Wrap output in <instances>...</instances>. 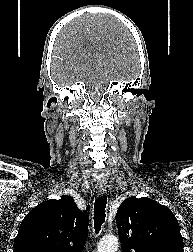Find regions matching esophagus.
<instances>
[{
    "instance_id": "34e87169",
    "label": "esophagus",
    "mask_w": 193,
    "mask_h": 252,
    "mask_svg": "<svg viewBox=\"0 0 193 252\" xmlns=\"http://www.w3.org/2000/svg\"><path fill=\"white\" fill-rule=\"evenodd\" d=\"M96 192L98 196H103L106 193V185L105 184H98L96 186Z\"/></svg>"
}]
</instances>
